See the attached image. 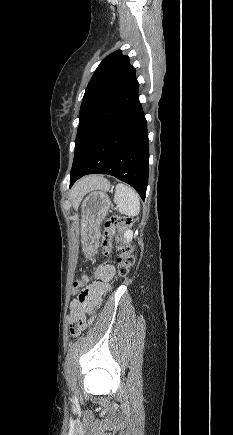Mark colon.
<instances>
[{"label":"colon","mask_w":233,"mask_h":435,"mask_svg":"<svg viewBox=\"0 0 233 435\" xmlns=\"http://www.w3.org/2000/svg\"><path fill=\"white\" fill-rule=\"evenodd\" d=\"M132 220L129 217L114 215L108 218L104 224L103 234L101 239V247L105 256H110L113 251V243L117 242L116 263L117 277L124 278L127 276L130 267L134 263V257L131 253V247L123 244L122 233L131 226ZM88 275H83L80 279L83 285L88 283ZM95 316L89 318V323L92 324Z\"/></svg>","instance_id":"obj_1"}]
</instances>
